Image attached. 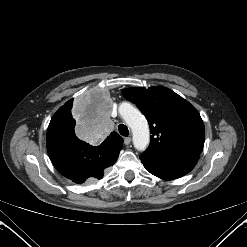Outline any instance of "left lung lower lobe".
<instances>
[{
  "mask_svg": "<svg viewBox=\"0 0 247 247\" xmlns=\"http://www.w3.org/2000/svg\"><path fill=\"white\" fill-rule=\"evenodd\" d=\"M199 157V154L173 156L145 151L141 154L140 160L151 174L164 180H173L190 172Z\"/></svg>",
  "mask_w": 247,
  "mask_h": 247,
  "instance_id": "0a47b994",
  "label": "left lung lower lobe"
}]
</instances>
